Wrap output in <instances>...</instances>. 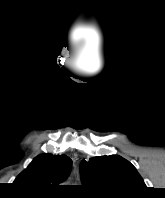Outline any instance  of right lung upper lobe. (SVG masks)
<instances>
[{
	"label": "right lung upper lobe",
	"instance_id": "cb5924a9",
	"mask_svg": "<svg viewBox=\"0 0 165 198\" xmlns=\"http://www.w3.org/2000/svg\"><path fill=\"white\" fill-rule=\"evenodd\" d=\"M72 161L66 155L37 156L14 184L38 195H47L70 174Z\"/></svg>",
	"mask_w": 165,
	"mask_h": 198
}]
</instances>
